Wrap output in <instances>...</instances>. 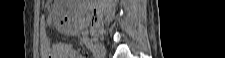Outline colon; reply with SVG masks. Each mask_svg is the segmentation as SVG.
I'll return each instance as SVG.
<instances>
[{
    "instance_id": "1",
    "label": "colon",
    "mask_w": 225,
    "mask_h": 58,
    "mask_svg": "<svg viewBox=\"0 0 225 58\" xmlns=\"http://www.w3.org/2000/svg\"><path fill=\"white\" fill-rule=\"evenodd\" d=\"M74 58H89V53L83 48H77L74 51Z\"/></svg>"
}]
</instances>
